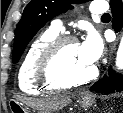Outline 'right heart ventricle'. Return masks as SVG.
Returning <instances> with one entry per match:
<instances>
[{
  "label": "right heart ventricle",
  "mask_w": 123,
  "mask_h": 113,
  "mask_svg": "<svg viewBox=\"0 0 123 113\" xmlns=\"http://www.w3.org/2000/svg\"><path fill=\"white\" fill-rule=\"evenodd\" d=\"M57 37H59V31L50 28L41 33L30 45L18 71V83L23 91L30 94H41L61 89L43 84L36 72L39 57L44 49Z\"/></svg>",
  "instance_id": "1"
}]
</instances>
